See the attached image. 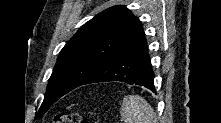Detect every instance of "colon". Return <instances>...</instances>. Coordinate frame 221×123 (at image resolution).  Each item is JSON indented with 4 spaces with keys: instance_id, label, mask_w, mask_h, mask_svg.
<instances>
[{
    "instance_id": "colon-1",
    "label": "colon",
    "mask_w": 221,
    "mask_h": 123,
    "mask_svg": "<svg viewBox=\"0 0 221 123\" xmlns=\"http://www.w3.org/2000/svg\"><path fill=\"white\" fill-rule=\"evenodd\" d=\"M53 123H87V121L77 113L59 112L53 116Z\"/></svg>"
}]
</instances>
